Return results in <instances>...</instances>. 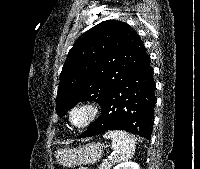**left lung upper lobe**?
Returning <instances> with one entry per match:
<instances>
[{
  "instance_id": "obj_1",
  "label": "left lung upper lobe",
  "mask_w": 200,
  "mask_h": 169,
  "mask_svg": "<svg viewBox=\"0 0 200 169\" xmlns=\"http://www.w3.org/2000/svg\"><path fill=\"white\" fill-rule=\"evenodd\" d=\"M146 55L137 33L120 21H103L81 35L60 75L56 112L62 116L79 101L102 103L108 92Z\"/></svg>"
}]
</instances>
